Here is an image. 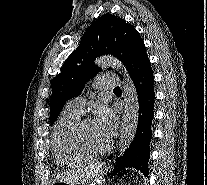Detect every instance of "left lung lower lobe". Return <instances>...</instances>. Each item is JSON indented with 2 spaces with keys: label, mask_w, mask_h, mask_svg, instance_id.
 I'll list each match as a JSON object with an SVG mask.
<instances>
[{
  "label": "left lung lower lobe",
  "mask_w": 207,
  "mask_h": 185,
  "mask_svg": "<svg viewBox=\"0 0 207 185\" xmlns=\"http://www.w3.org/2000/svg\"><path fill=\"white\" fill-rule=\"evenodd\" d=\"M139 101V117L135 137L121 158L116 159L119 168L133 167L148 176L150 157V141L152 139L151 124L154 117V76L151 66L139 72L133 78ZM112 159V155L109 157Z\"/></svg>",
  "instance_id": "left-lung-lower-lobe-1"
}]
</instances>
